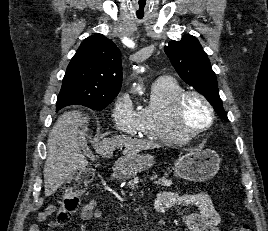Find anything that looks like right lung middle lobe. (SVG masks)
<instances>
[{
    "mask_svg": "<svg viewBox=\"0 0 268 231\" xmlns=\"http://www.w3.org/2000/svg\"><path fill=\"white\" fill-rule=\"evenodd\" d=\"M112 101H113V99H109V100H104V101H99V102L78 103V104L89 107L93 110H101V109H104L107 105H109ZM67 105H73V104H64V102H62V103L57 102L56 111L60 110L61 108H63L64 106H67Z\"/></svg>",
    "mask_w": 268,
    "mask_h": 231,
    "instance_id": "1",
    "label": "right lung middle lobe"
}]
</instances>
